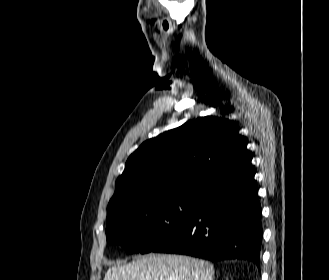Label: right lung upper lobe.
Returning <instances> with one entry per match:
<instances>
[{"instance_id": "right-lung-upper-lobe-1", "label": "right lung upper lobe", "mask_w": 329, "mask_h": 280, "mask_svg": "<svg viewBox=\"0 0 329 280\" xmlns=\"http://www.w3.org/2000/svg\"><path fill=\"white\" fill-rule=\"evenodd\" d=\"M251 159L232 120H190L131 154L108 207L144 197H201L213 182Z\"/></svg>"}]
</instances>
